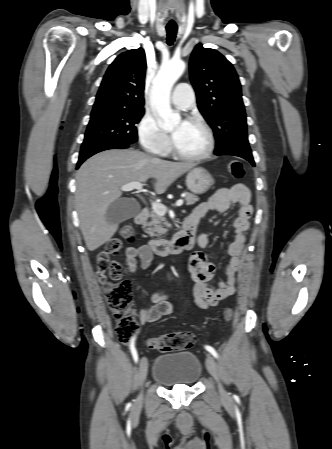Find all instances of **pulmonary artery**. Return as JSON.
<instances>
[{
  "label": "pulmonary artery",
  "instance_id": "obj_1",
  "mask_svg": "<svg viewBox=\"0 0 332 449\" xmlns=\"http://www.w3.org/2000/svg\"><path fill=\"white\" fill-rule=\"evenodd\" d=\"M195 94L193 88L188 83H178L171 95L172 104L182 110L189 109L193 106Z\"/></svg>",
  "mask_w": 332,
  "mask_h": 449
}]
</instances>
